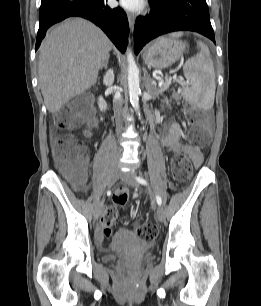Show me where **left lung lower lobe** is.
<instances>
[{"label":"left lung lower lobe","mask_w":261,"mask_h":306,"mask_svg":"<svg viewBox=\"0 0 261 306\" xmlns=\"http://www.w3.org/2000/svg\"><path fill=\"white\" fill-rule=\"evenodd\" d=\"M150 16H139L134 27V51L150 40L174 31H195L215 43L206 0H149Z\"/></svg>","instance_id":"1"}]
</instances>
